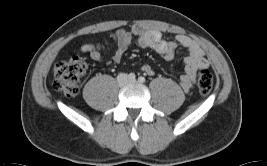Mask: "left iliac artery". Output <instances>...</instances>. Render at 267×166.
<instances>
[{
    "label": "left iliac artery",
    "mask_w": 267,
    "mask_h": 166,
    "mask_svg": "<svg viewBox=\"0 0 267 166\" xmlns=\"http://www.w3.org/2000/svg\"><path fill=\"white\" fill-rule=\"evenodd\" d=\"M138 81H139L140 83H144V82H145V78L141 76V77L138 78Z\"/></svg>",
    "instance_id": "44dca946"
}]
</instances>
